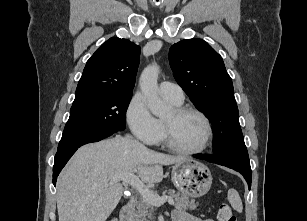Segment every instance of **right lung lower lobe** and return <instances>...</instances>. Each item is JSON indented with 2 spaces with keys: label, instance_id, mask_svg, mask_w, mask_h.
<instances>
[{
  "label": "right lung lower lobe",
  "instance_id": "right-lung-lower-lobe-1",
  "mask_svg": "<svg viewBox=\"0 0 307 221\" xmlns=\"http://www.w3.org/2000/svg\"><path fill=\"white\" fill-rule=\"evenodd\" d=\"M113 133L106 134V135H101V136H94V137H89L85 138L83 140H80L78 142H75L73 144L58 148V151L55 155V160H54V166H53V184L54 186L56 185L57 181V176L61 172L62 168L65 166L67 161L71 158V156L75 153V151L81 147L82 145H85L87 143L91 142H97L100 141Z\"/></svg>",
  "mask_w": 307,
  "mask_h": 221
}]
</instances>
